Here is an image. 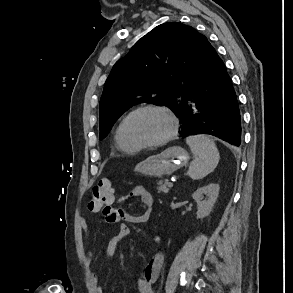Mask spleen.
<instances>
[{"label":"spleen","mask_w":293,"mask_h":293,"mask_svg":"<svg viewBox=\"0 0 293 293\" xmlns=\"http://www.w3.org/2000/svg\"><path fill=\"white\" fill-rule=\"evenodd\" d=\"M186 143L194 155L188 175L193 180L202 179L218 165L220 159L218 149L214 141L203 134L187 137Z\"/></svg>","instance_id":"1"}]
</instances>
